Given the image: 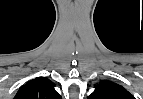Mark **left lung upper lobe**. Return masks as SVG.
Masks as SVG:
<instances>
[{"label":"left lung upper lobe","instance_id":"left-lung-upper-lobe-1","mask_svg":"<svg viewBox=\"0 0 143 99\" xmlns=\"http://www.w3.org/2000/svg\"><path fill=\"white\" fill-rule=\"evenodd\" d=\"M88 99H135L123 86L109 80H102L94 86Z\"/></svg>","mask_w":143,"mask_h":99}]
</instances>
